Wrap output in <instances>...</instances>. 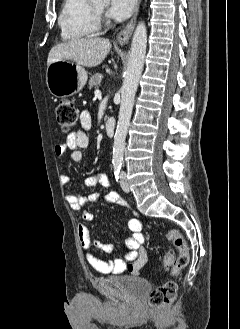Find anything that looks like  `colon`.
I'll return each mask as SVG.
<instances>
[{"mask_svg": "<svg viewBox=\"0 0 240 329\" xmlns=\"http://www.w3.org/2000/svg\"><path fill=\"white\" fill-rule=\"evenodd\" d=\"M79 107L70 101H61L56 107V118L62 131L68 132L75 127L79 120ZM167 237L173 242L177 249L168 251L164 257V265L171 268V272L176 274L183 270L189 263V248L183 235L175 229L169 230ZM177 284L166 281L157 286L149 296V303L153 307H166L174 302L177 296Z\"/></svg>", "mask_w": 240, "mask_h": 329, "instance_id": "obj_1", "label": "colon"}]
</instances>
